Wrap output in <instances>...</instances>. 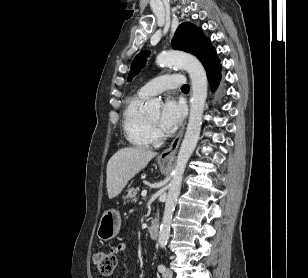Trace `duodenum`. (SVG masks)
<instances>
[{"instance_id": "obj_1", "label": "duodenum", "mask_w": 308, "mask_h": 278, "mask_svg": "<svg viewBox=\"0 0 308 278\" xmlns=\"http://www.w3.org/2000/svg\"><path fill=\"white\" fill-rule=\"evenodd\" d=\"M149 236L152 240H156L159 235V223L157 219H152L148 228Z\"/></svg>"}]
</instances>
